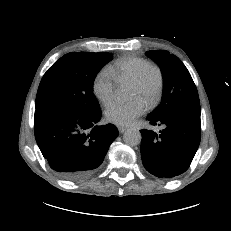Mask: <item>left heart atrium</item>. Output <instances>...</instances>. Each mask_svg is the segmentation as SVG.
<instances>
[{"label":"left heart atrium","instance_id":"1","mask_svg":"<svg viewBox=\"0 0 231 231\" xmlns=\"http://www.w3.org/2000/svg\"><path fill=\"white\" fill-rule=\"evenodd\" d=\"M145 104L140 99H133L127 103L113 102L106 109L108 121L117 125H130L143 114Z\"/></svg>","mask_w":231,"mask_h":231}]
</instances>
